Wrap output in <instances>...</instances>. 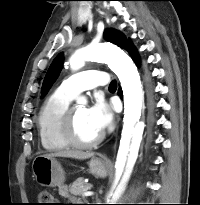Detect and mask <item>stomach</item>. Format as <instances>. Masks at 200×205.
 Listing matches in <instances>:
<instances>
[{
    "label": "stomach",
    "instance_id": "obj_1",
    "mask_svg": "<svg viewBox=\"0 0 200 205\" xmlns=\"http://www.w3.org/2000/svg\"><path fill=\"white\" fill-rule=\"evenodd\" d=\"M90 172L98 177L107 176L110 165L100 158H92L89 162ZM33 174L41 186L54 187L62 184L65 173L61 164L54 157L39 155L32 163Z\"/></svg>",
    "mask_w": 200,
    "mask_h": 205
}]
</instances>
